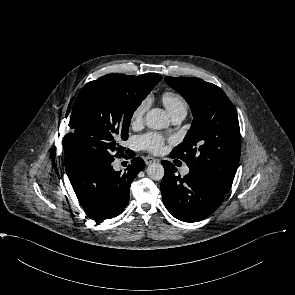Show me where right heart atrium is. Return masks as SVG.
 Masks as SVG:
<instances>
[{
	"label": "right heart atrium",
	"instance_id": "right-heart-atrium-1",
	"mask_svg": "<svg viewBox=\"0 0 295 295\" xmlns=\"http://www.w3.org/2000/svg\"><path fill=\"white\" fill-rule=\"evenodd\" d=\"M151 104L150 97L143 98L133 109L131 113L130 123L133 127L143 122L146 111Z\"/></svg>",
	"mask_w": 295,
	"mask_h": 295
}]
</instances>
